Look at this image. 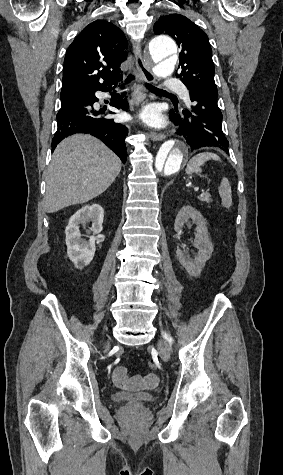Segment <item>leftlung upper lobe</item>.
Segmentation results:
<instances>
[{"label": "left lung upper lobe", "mask_w": 283, "mask_h": 475, "mask_svg": "<svg viewBox=\"0 0 283 475\" xmlns=\"http://www.w3.org/2000/svg\"><path fill=\"white\" fill-rule=\"evenodd\" d=\"M155 34L172 36L181 52V73L176 75L188 89L202 88L217 92L214 63L207 35L187 17L180 14L161 16L154 24Z\"/></svg>", "instance_id": "obj_1"}]
</instances>
